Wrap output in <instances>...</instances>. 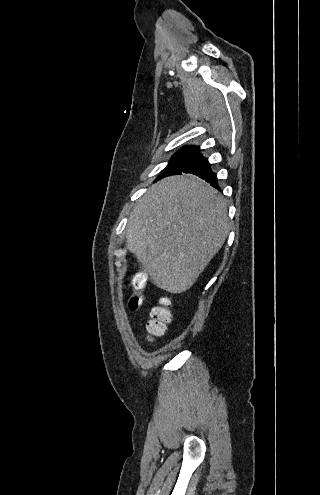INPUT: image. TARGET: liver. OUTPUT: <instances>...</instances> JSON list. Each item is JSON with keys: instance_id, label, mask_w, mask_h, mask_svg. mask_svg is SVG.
<instances>
[{"instance_id": "liver-1", "label": "liver", "mask_w": 320, "mask_h": 495, "mask_svg": "<svg viewBox=\"0 0 320 495\" xmlns=\"http://www.w3.org/2000/svg\"><path fill=\"white\" fill-rule=\"evenodd\" d=\"M229 219L223 196L193 174L158 181L131 212L127 248L159 288L189 289L224 244Z\"/></svg>"}]
</instances>
